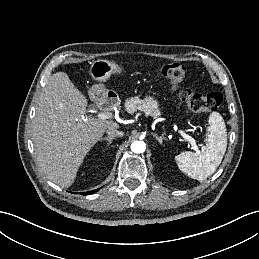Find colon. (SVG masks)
I'll list each match as a JSON object with an SVG mask.
<instances>
[{"label":"colon","mask_w":259,"mask_h":259,"mask_svg":"<svg viewBox=\"0 0 259 259\" xmlns=\"http://www.w3.org/2000/svg\"><path fill=\"white\" fill-rule=\"evenodd\" d=\"M186 73V67L181 63H171L161 69L162 77L168 81L174 91H178L179 98L194 112H213L217 110L223 96L220 92L201 94L192 89H180Z\"/></svg>","instance_id":"colon-1"}]
</instances>
